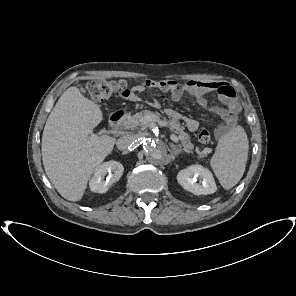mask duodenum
Returning <instances> with one entry per match:
<instances>
[{
	"mask_svg": "<svg viewBox=\"0 0 296 296\" xmlns=\"http://www.w3.org/2000/svg\"><path fill=\"white\" fill-rule=\"evenodd\" d=\"M125 118V113L122 111L116 112L111 115L109 125L112 129H117Z\"/></svg>",
	"mask_w": 296,
	"mask_h": 296,
	"instance_id": "obj_1",
	"label": "duodenum"
}]
</instances>
